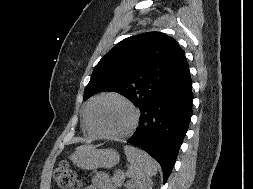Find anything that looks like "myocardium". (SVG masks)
Wrapping results in <instances>:
<instances>
[{
  "label": "myocardium",
  "mask_w": 253,
  "mask_h": 189,
  "mask_svg": "<svg viewBox=\"0 0 253 189\" xmlns=\"http://www.w3.org/2000/svg\"><path fill=\"white\" fill-rule=\"evenodd\" d=\"M106 98H115L121 102H123L132 112V122L129 125V127L121 132V133H116V134H112V133H106L101 131L95 124L94 120H93V110L95 105ZM87 120H88V124L91 128V130L99 137L101 138H105V139H112V140H118V139H123L126 138L128 136H130L138 127L139 125V121H140V111L138 110V108L125 96L118 94V93H114V92H108V93H103L99 96H97L96 98H94L92 100V102L90 103V106L88 108V112H87Z\"/></svg>",
  "instance_id": "f54148a6"
}]
</instances>
